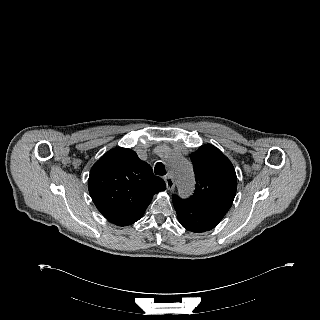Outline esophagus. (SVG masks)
<instances>
[{
  "label": "esophagus",
  "instance_id": "34e87169",
  "mask_svg": "<svg viewBox=\"0 0 320 320\" xmlns=\"http://www.w3.org/2000/svg\"><path fill=\"white\" fill-rule=\"evenodd\" d=\"M165 183H166V187H167L168 190L174 189L175 183H174V180H173L172 176L167 175L165 177Z\"/></svg>",
  "mask_w": 320,
  "mask_h": 320
}]
</instances>
